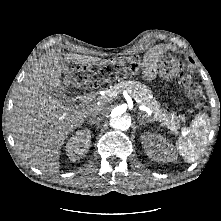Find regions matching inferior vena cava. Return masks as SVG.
<instances>
[{
	"mask_svg": "<svg viewBox=\"0 0 221 221\" xmlns=\"http://www.w3.org/2000/svg\"><path fill=\"white\" fill-rule=\"evenodd\" d=\"M103 118V110L99 108H94L91 110L89 115V124L99 123Z\"/></svg>",
	"mask_w": 221,
	"mask_h": 221,
	"instance_id": "obj_1",
	"label": "inferior vena cava"
}]
</instances>
